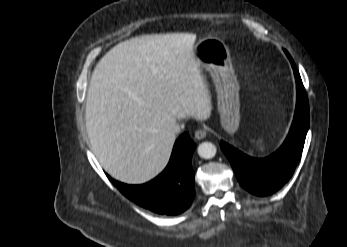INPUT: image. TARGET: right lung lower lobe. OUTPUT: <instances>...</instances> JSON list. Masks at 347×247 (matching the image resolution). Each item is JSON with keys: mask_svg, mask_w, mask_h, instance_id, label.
<instances>
[{"mask_svg": "<svg viewBox=\"0 0 347 247\" xmlns=\"http://www.w3.org/2000/svg\"><path fill=\"white\" fill-rule=\"evenodd\" d=\"M188 133L175 142L165 170L142 185H127L108 178L117 189L136 204L158 214L176 215L185 211L195 197L191 159L195 149Z\"/></svg>", "mask_w": 347, "mask_h": 247, "instance_id": "1", "label": "right lung lower lobe"}]
</instances>
